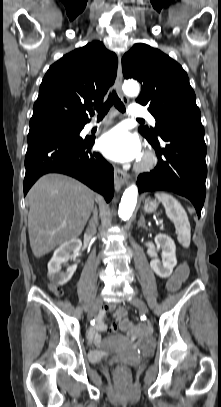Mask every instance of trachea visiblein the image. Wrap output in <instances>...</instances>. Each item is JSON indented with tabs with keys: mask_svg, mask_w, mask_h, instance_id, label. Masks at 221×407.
Segmentation results:
<instances>
[{
	"mask_svg": "<svg viewBox=\"0 0 221 407\" xmlns=\"http://www.w3.org/2000/svg\"><path fill=\"white\" fill-rule=\"evenodd\" d=\"M114 104V106L122 113L125 112V106L122 101L117 96L115 90L109 95L108 100L101 106L96 107V111L98 112V118L104 117L107 112L109 111L110 107ZM140 121H144L143 119H138Z\"/></svg>",
	"mask_w": 221,
	"mask_h": 407,
	"instance_id": "obj_1",
	"label": "trachea"
}]
</instances>
